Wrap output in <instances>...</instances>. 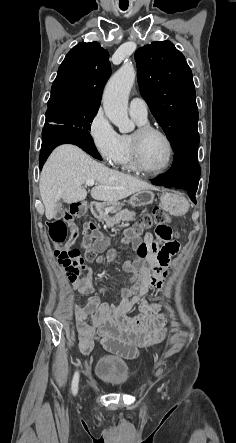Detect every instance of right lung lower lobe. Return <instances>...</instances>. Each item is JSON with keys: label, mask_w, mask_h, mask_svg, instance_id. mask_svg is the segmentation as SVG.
<instances>
[{"label": "right lung lower lobe", "mask_w": 236, "mask_h": 443, "mask_svg": "<svg viewBox=\"0 0 236 443\" xmlns=\"http://www.w3.org/2000/svg\"><path fill=\"white\" fill-rule=\"evenodd\" d=\"M42 131V147L39 157L40 169H42L46 159L52 150L65 143H71L79 146L94 158L102 160L100 154L97 152L91 137L76 134L69 130V127L62 125H49Z\"/></svg>", "instance_id": "1"}]
</instances>
